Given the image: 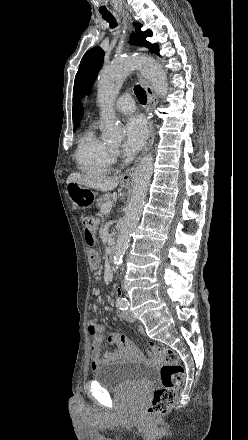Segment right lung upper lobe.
<instances>
[{
    "mask_svg": "<svg viewBox=\"0 0 248 440\" xmlns=\"http://www.w3.org/2000/svg\"><path fill=\"white\" fill-rule=\"evenodd\" d=\"M72 114H73V121H74L75 130H76V128L79 127L80 120L82 119V116H83L82 106L76 97H74V99H73Z\"/></svg>",
    "mask_w": 248,
    "mask_h": 440,
    "instance_id": "right-lung-upper-lobe-1",
    "label": "right lung upper lobe"
}]
</instances>
